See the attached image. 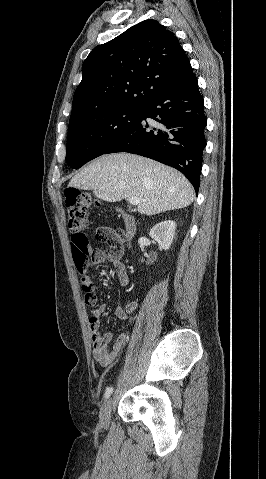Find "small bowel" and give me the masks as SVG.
Returning <instances> with one entry per match:
<instances>
[{"label": "small bowel", "mask_w": 266, "mask_h": 479, "mask_svg": "<svg viewBox=\"0 0 266 479\" xmlns=\"http://www.w3.org/2000/svg\"><path fill=\"white\" fill-rule=\"evenodd\" d=\"M118 245V244H117ZM113 245H109L106 250H97L92 254V263L94 265H101L105 262L112 263L118 282L120 286L126 287L129 284V275L126 266L119 260V258H113L110 255V249ZM138 308V302L132 301L126 307H116L114 314L120 320L130 322L132 315ZM105 312V304L100 303L91 312L89 318V328L91 333L92 342V356L96 362L102 366H108L112 364L119 356L124 345L127 342V333H121L116 338L111 349L109 344L112 341L113 335L111 332H100L101 317Z\"/></svg>", "instance_id": "1"}]
</instances>
